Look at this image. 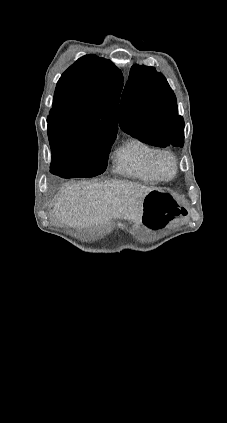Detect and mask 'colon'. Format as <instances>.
<instances>
[{
  "label": "colon",
  "instance_id": "colon-1",
  "mask_svg": "<svg viewBox=\"0 0 227 423\" xmlns=\"http://www.w3.org/2000/svg\"><path fill=\"white\" fill-rule=\"evenodd\" d=\"M184 213L185 210L165 190H153L145 198L144 220L149 227H162L169 220Z\"/></svg>",
  "mask_w": 227,
  "mask_h": 423
}]
</instances>
